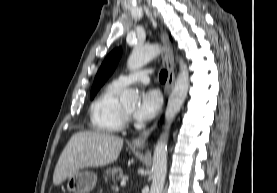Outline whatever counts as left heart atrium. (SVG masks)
<instances>
[{"label":"left heart atrium","instance_id":"39dd6f15","mask_svg":"<svg viewBox=\"0 0 277 193\" xmlns=\"http://www.w3.org/2000/svg\"><path fill=\"white\" fill-rule=\"evenodd\" d=\"M160 107V94L155 90H146L141 93L133 115L138 121H149L157 115Z\"/></svg>","mask_w":277,"mask_h":193}]
</instances>
